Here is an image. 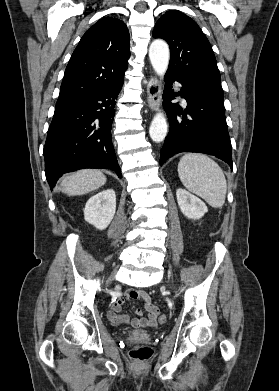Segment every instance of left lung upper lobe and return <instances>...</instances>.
<instances>
[{
  "instance_id": "left-lung-upper-lobe-1",
  "label": "left lung upper lobe",
  "mask_w": 279,
  "mask_h": 391,
  "mask_svg": "<svg viewBox=\"0 0 279 391\" xmlns=\"http://www.w3.org/2000/svg\"><path fill=\"white\" fill-rule=\"evenodd\" d=\"M154 38H162L170 48L166 75L224 104L221 76L211 45L187 15L171 10L157 21Z\"/></svg>"
}]
</instances>
